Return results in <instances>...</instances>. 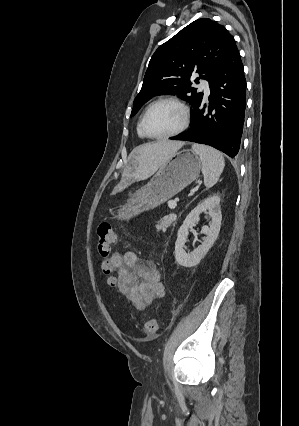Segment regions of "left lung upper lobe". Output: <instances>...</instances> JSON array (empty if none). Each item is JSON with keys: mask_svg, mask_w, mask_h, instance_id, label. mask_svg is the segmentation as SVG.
Masks as SVG:
<instances>
[{"mask_svg": "<svg viewBox=\"0 0 299 426\" xmlns=\"http://www.w3.org/2000/svg\"><path fill=\"white\" fill-rule=\"evenodd\" d=\"M236 49L233 36L224 26L208 18L195 20L155 51L131 116L152 97L164 94L188 101L194 114L202 103L203 93L191 87V77L198 74L196 83L199 79L210 82Z\"/></svg>", "mask_w": 299, "mask_h": 426, "instance_id": "1", "label": "left lung upper lobe"}]
</instances>
